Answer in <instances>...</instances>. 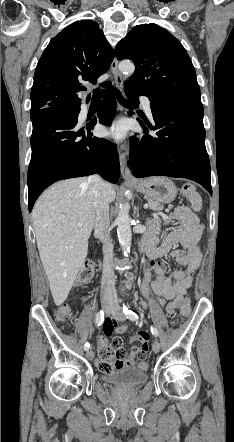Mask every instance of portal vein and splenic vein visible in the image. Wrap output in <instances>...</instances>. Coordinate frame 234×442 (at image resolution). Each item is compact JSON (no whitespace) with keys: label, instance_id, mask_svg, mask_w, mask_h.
<instances>
[{"label":"portal vein and splenic vein","instance_id":"obj_1","mask_svg":"<svg viewBox=\"0 0 234 442\" xmlns=\"http://www.w3.org/2000/svg\"><path fill=\"white\" fill-rule=\"evenodd\" d=\"M144 208L147 209V208H148V204H145V205H144ZM81 225H82V223H80V222H78V223L76 224V226H81Z\"/></svg>","mask_w":234,"mask_h":442}]
</instances>
